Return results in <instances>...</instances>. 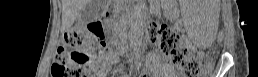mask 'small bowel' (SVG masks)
Returning <instances> with one entry per match:
<instances>
[{
    "label": "small bowel",
    "instance_id": "1",
    "mask_svg": "<svg viewBox=\"0 0 258 77\" xmlns=\"http://www.w3.org/2000/svg\"><path fill=\"white\" fill-rule=\"evenodd\" d=\"M96 59L99 65L96 67L94 75L97 77H103L109 72L111 66L117 62L118 55L113 52H99L96 55ZM150 65L152 69L166 76L174 74V71L168 65L163 67L162 64L154 57H151Z\"/></svg>",
    "mask_w": 258,
    "mask_h": 77
}]
</instances>
